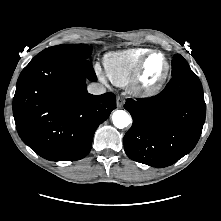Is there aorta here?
<instances>
[{"mask_svg": "<svg viewBox=\"0 0 221 221\" xmlns=\"http://www.w3.org/2000/svg\"><path fill=\"white\" fill-rule=\"evenodd\" d=\"M112 121L116 128L123 129L132 122V119L126 111L116 110L112 115Z\"/></svg>", "mask_w": 221, "mask_h": 221, "instance_id": "obj_1", "label": "aorta"}]
</instances>
